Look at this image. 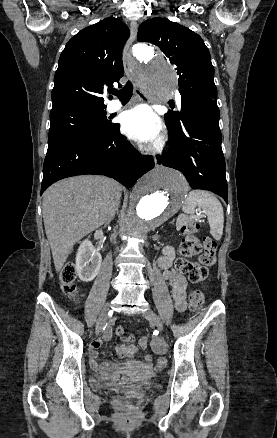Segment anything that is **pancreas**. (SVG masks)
Instances as JSON below:
<instances>
[{"label":"pancreas","mask_w":277,"mask_h":438,"mask_svg":"<svg viewBox=\"0 0 277 438\" xmlns=\"http://www.w3.org/2000/svg\"><path fill=\"white\" fill-rule=\"evenodd\" d=\"M190 220H191V217H190V215H188V214H185V215H182V216H180V218H176L175 219V231H180V227H183L184 226V223H188V222H190Z\"/></svg>","instance_id":"cf45deb5"}]
</instances>
